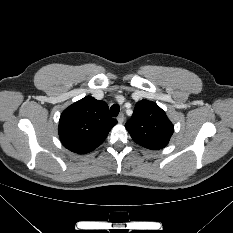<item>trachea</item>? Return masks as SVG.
I'll list each match as a JSON object with an SVG mask.
<instances>
[{"instance_id":"obj_1","label":"trachea","mask_w":233,"mask_h":233,"mask_svg":"<svg viewBox=\"0 0 233 233\" xmlns=\"http://www.w3.org/2000/svg\"><path fill=\"white\" fill-rule=\"evenodd\" d=\"M120 107L116 104L112 105L110 108V114L112 117H116L119 114Z\"/></svg>"}]
</instances>
